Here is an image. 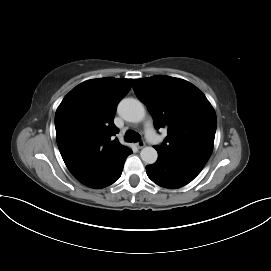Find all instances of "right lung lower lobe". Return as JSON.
<instances>
[{
	"instance_id": "right-lung-lower-lobe-1",
	"label": "right lung lower lobe",
	"mask_w": 271,
	"mask_h": 271,
	"mask_svg": "<svg viewBox=\"0 0 271 271\" xmlns=\"http://www.w3.org/2000/svg\"><path fill=\"white\" fill-rule=\"evenodd\" d=\"M131 153L132 150L129 149L126 154L103 177L91 184H88L87 186L92 188H104L113 184L120 178L125 160Z\"/></svg>"
}]
</instances>
